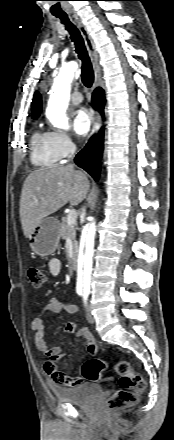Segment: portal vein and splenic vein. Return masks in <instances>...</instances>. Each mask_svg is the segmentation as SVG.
I'll list each match as a JSON object with an SVG mask.
<instances>
[{
    "instance_id": "1",
    "label": "portal vein and splenic vein",
    "mask_w": 174,
    "mask_h": 440,
    "mask_svg": "<svg viewBox=\"0 0 174 440\" xmlns=\"http://www.w3.org/2000/svg\"><path fill=\"white\" fill-rule=\"evenodd\" d=\"M78 213L75 209H72L69 211L68 215H67V223L68 224H73L76 222Z\"/></svg>"
}]
</instances>
